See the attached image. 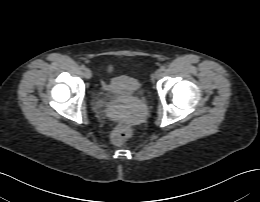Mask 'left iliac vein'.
Returning a JSON list of instances; mask_svg holds the SVG:
<instances>
[{"label":"left iliac vein","mask_w":260,"mask_h":202,"mask_svg":"<svg viewBox=\"0 0 260 202\" xmlns=\"http://www.w3.org/2000/svg\"><path fill=\"white\" fill-rule=\"evenodd\" d=\"M163 75V71L161 69H158L156 72H155V78L156 79H159L161 78Z\"/></svg>","instance_id":"obj_1"}]
</instances>
